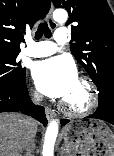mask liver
<instances>
[{"label":"liver","mask_w":114,"mask_h":156,"mask_svg":"<svg viewBox=\"0 0 114 156\" xmlns=\"http://www.w3.org/2000/svg\"><path fill=\"white\" fill-rule=\"evenodd\" d=\"M38 125L34 119L20 114H0V156H22L34 141Z\"/></svg>","instance_id":"liver-1"}]
</instances>
